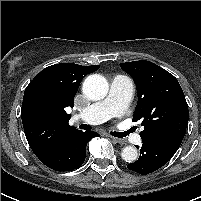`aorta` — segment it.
Here are the masks:
<instances>
[{"label": "aorta", "mask_w": 201, "mask_h": 201, "mask_svg": "<svg viewBox=\"0 0 201 201\" xmlns=\"http://www.w3.org/2000/svg\"><path fill=\"white\" fill-rule=\"evenodd\" d=\"M82 90L88 99L94 101L101 100L108 93V83L103 76L93 74L85 79ZM121 157L128 163L134 162L138 158V151L133 146H126L122 149Z\"/></svg>", "instance_id": "obj_1"}]
</instances>
